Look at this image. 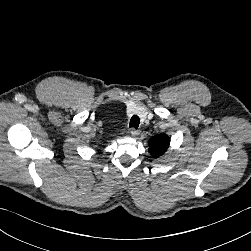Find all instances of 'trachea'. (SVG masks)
Masks as SVG:
<instances>
[{"label": "trachea", "mask_w": 251, "mask_h": 251, "mask_svg": "<svg viewBox=\"0 0 251 251\" xmlns=\"http://www.w3.org/2000/svg\"><path fill=\"white\" fill-rule=\"evenodd\" d=\"M139 124H140L139 117L137 115L132 116V118L130 119L129 127L137 129L139 127Z\"/></svg>", "instance_id": "1"}]
</instances>
